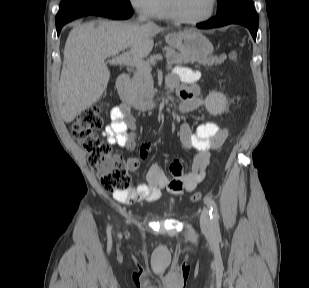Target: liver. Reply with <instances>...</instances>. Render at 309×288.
<instances>
[{
  "label": "liver",
  "instance_id": "1",
  "mask_svg": "<svg viewBox=\"0 0 309 288\" xmlns=\"http://www.w3.org/2000/svg\"><path fill=\"white\" fill-rule=\"evenodd\" d=\"M164 29L157 25L118 21L77 23L69 33L57 89L61 117L72 122L92 106L106 90L110 79L105 60L130 48L142 59L153 49V37Z\"/></svg>",
  "mask_w": 309,
  "mask_h": 288
}]
</instances>
